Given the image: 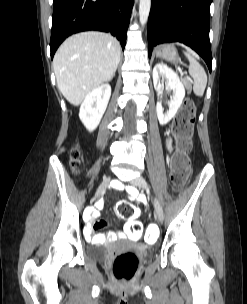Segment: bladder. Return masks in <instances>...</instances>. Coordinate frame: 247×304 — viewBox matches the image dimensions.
I'll return each instance as SVG.
<instances>
[{
  "mask_svg": "<svg viewBox=\"0 0 247 304\" xmlns=\"http://www.w3.org/2000/svg\"><path fill=\"white\" fill-rule=\"evenodd\" d=\"M107 249L106 246H91L88 248L87 253L92 259L101 260L106 256Z\"/></svg>",
  "mask_w": 247,
  "mask_h": 304,
  "instance_id": "bladder-1",
  "label": "bladder"
}]
</instances>
